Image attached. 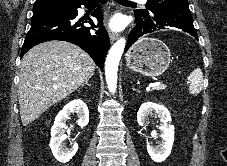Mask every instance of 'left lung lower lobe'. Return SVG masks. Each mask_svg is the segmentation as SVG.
Segmentation results:
<instances>
[{
    "label": "left lung lower lobe",
    "instance_id": "0a47b994",
    "mask_svg": "<svg viewBox=\"0 0 227 166\" xmlns=\"http://www.w3.org/2000/svg\"><path fill=\"white\" fill-rule=\"evenodd\" d=\"M146 6L149 10L147 12L135 11V26L129 35L125 51L139 37L161 29H182L198 40L188 1L152 2L148 0Z\"/></svg>",
    "mask_w": 227,
    "mask_h": 166
}]
</instances>
